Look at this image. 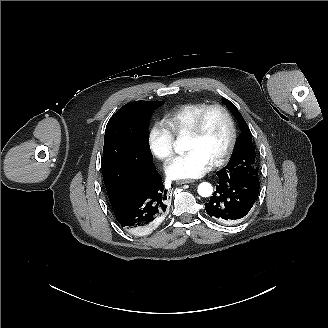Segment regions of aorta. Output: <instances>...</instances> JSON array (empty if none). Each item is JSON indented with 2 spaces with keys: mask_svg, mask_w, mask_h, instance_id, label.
<instances>
[{
  "mask_svg": "<svg viewBox=\"0 0 328 328\" xmlns=\"http://www.w3.org/2000/svg\"><path fill=\"white\" fill-rule=\"evenodd\" d=\"M175 151L177 153H182L183 151H186L188 149L187 142L184 140V138L179 137L175 142ZM213 193V187L208 182H202L198 186V194L202 197H209Z\"/></svg>",
  "mask_w": 328,
  "mask_h": 328,
  "instance_id": "obj_1",
  "label": "aorta"
}]
</instances>
